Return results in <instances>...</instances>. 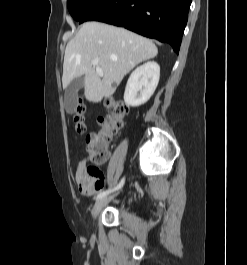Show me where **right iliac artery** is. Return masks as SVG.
<instances>
[{
    "label": "right iliac artery",
    "instance_id": "82829eb1",
    "mask_svg": "<svg viewBox=\"0 0 247 265\" xmlns=\"http://www.w3.org/2000/svg\"><path fill=\"white\" fill-rule=\"evenodd\" d=\"M124 181H125V179L122 178V180L120 181V183H119L116 187H114L113 189H110V190H106V191H102V192H100V193L96 196V200H99V199L105 197L106 195H108L109 193H111V192H113V191H116V190L120 189V188L123 186Z\"/></svg>",
    "mask_w": 247,
    "mask_h": 265
}]
</instances>
